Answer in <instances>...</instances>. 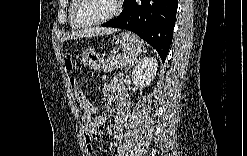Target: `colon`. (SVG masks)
I'll list each match as a JSON object with an SVG mask.
<instances>
[{
    "label": "colon",
    "instance_id": "obj_1",
    "mask_svg": "<svg viewBox=\"0 0 247 156\" xmlns=\"http://www.w3.org/2000/svg\"><path fill=\"white\" fill-rule=\"evenodd\" d=\"M99 112H102L101 104H96V107H89L88 113L84 116V121H82L85 134L92 139L100 135V129L97 125L100 120Z\"/></svg>",
    "mask_w": 247,
    "mask_h": 156
}]
</instances>
